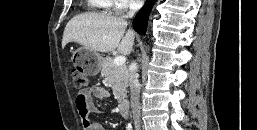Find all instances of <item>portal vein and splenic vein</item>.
I'll use <instances>...</instances> for the list:
<instances>
[{
  "label": "portal vein and splenic vein",
  "instance_id": "obj_1",
  "mask_svg": "<svg viewBox=\"0 0 257 130\" xmlns=\"http://www.w3.org/2000/svg\"><path fill=\"white\" fill-rule=\"evenodd\" d=\"M113 62L115 65L120 66L126 62V58L124 56H117V57H115Z\"/></svg>",
  "mask_w": 257,
  "mask_h": 130
}]
</instances>
